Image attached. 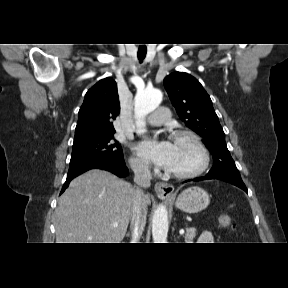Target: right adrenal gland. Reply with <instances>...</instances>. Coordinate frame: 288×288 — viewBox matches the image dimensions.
I'll return each instance as SVG.
<instances>
[{
  "label": "right adrenal gland",
  "mask_w": 288,
  "mask_h": 288,
  "mask_svg": "<svg viewBox=\"0 0 288 288\" xmlns=\"http://www.w3.org/2000/svg\"><path fill=\"white\" fill-rule=\"evenodd\" d=\"M126 236L129 237V236H130V233H127Z\"/></svg>",
  "instance_id": "right-adrenal-gland-1"
}]
</instances>
